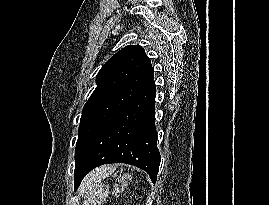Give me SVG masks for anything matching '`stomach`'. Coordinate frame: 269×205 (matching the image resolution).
Here are the masks:
<instances>
[{
	"instance_id": "1",
	"label": "stomach",
	"mask_w": 269,
	"mask_h": 205,
	"mask_svg": "<svg viewBox=\"0 0 269 205\" xmlns=\"http://www.w3.org/2000/svg\"><path fill=\"white\" fill-rule=\"evenodd\" d=\"M108 193V186L99 184L85 196L83 205H102L106 200Z\"/></svg>"
}]
</instances>
